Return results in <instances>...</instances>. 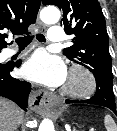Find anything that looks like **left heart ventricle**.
I'll return each instance as SVG.
<instances>
[{"instance_id": "obj_1", "label": "left heart ventricle", "mask_w": 117, "mask_h": 131, "mask_svg": "<svg viewBox=\"0 0 117 131\" xmlns=\"http://www.w3.org/2000/svg\"><path fill=\"white\" fill-rule=\"evenodd\" d=\"M66 82H68V83H70V84H75L76 82H77V80L75 79V78H71V79H68L67 78V81Z\"/></svg>"}]
</instances>
